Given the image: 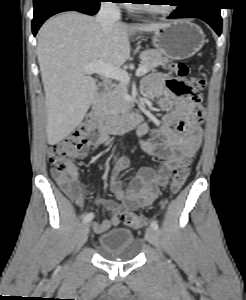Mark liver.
Instances as JSON below:
<instances>
[{
  "label": "liver",
  "instance_id": "1",
  "mask_svg": "<svg viewBox=\"0 0 246 300\" xmlns=\"http://www.w3.org/2000/svg\"><path fill=\"white\" fill-rule=\"evenodd\" d=\"M165 25L116 22L105 35L94 17L71 11L41 27L37 57L46 99L48 144L55 145L74 131L94 99L96 82L84 66L102 60L119 68L130 57L132 33L152 32Z\"/></svg>",
  "mask_w": 246,
  "mask_h": 300
}]
</instances>
